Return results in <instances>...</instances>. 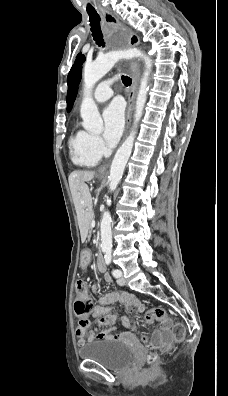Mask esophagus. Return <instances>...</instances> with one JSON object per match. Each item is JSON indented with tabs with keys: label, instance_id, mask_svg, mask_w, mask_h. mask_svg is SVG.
<instances>
[{
	"label": "esophagus",
	"instance_id": "obj_1",
	"mask_svg": "<svg viewBox=\"0 0 228 396\" xmlns=\"http://www.w3.org/2000/svg\"><path fill=\"white\" fill-rule=\"evenodd\" d=\"M99 14L101 15L103 21H104V26H103V32L105 35L108 34V28L113 25L114 23L117 22V19L115 16L112 14L111 11L105 8H101L98 10ZM140 43L139 38L136 35H132L131 37V44L132 46H138ZM130 68H131V77H132V85L128 94V107H127V119H126V131H125V136L129 130L131 119H132V113L134 110V103H135V97L139 85V79H140V65L137 61H132L130 63ZM109 164H105L102 167L99 168L98 172L100 174H103L107 171Z\"/></svg>",
	"mask_w": 228,
	"mask_h": 396
}]
</instances>
